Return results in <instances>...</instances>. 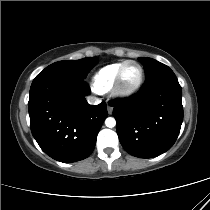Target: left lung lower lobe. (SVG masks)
<instances>
[{"mask_svg": "<svg viewBox=\"0 0 210 210\" xmlns=\"http://www.w3.org/2000/svg\"><path fill=\"white\" fill-rule=\"evenodd\" d=\"M110 105L120 143L129 154L152 158L175 143L183 121L182 90L170 68L146 79L136 95Z\"/></svg>", "mask_w": 210, "mask_h": 210, "instance_id": "0a47b994", "label": "left lung lower lobe"}]
</instances>
